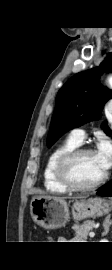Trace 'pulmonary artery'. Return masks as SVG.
I'll use <instances>...</instances> for the list:
<instances>
[{"label":"pulmonary artery","mask_w":112,"mask_h":270,"mask_svg":"<svg viewBox=\"0 0 112 270\" xmlns=\"http://www.w3.org/2000/svg\"><path fill=\"white\" fill-rule=\"evenodd\" d=\"M109 112L110 114H112V106L110 107ZM85 137H86L85 131L81 128L73 129L70 132V138L79 144L83 143Z\"/></svg>","instance_id":"e3ab8cb5"}]
</instances>
